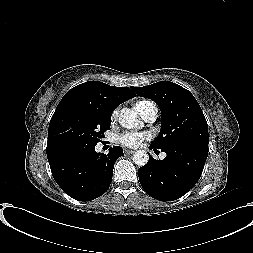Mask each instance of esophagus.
<instances>
[{
	"mask_svg": "<svg viewBox=\"0 0 253 253\" xmlns=\"http://www.w3.org/2000/svg\"><path fill=\"white\" fill-rule=\"evenodd\" d=\"M134 152H135L134 150L124 149V153H125V154H132V153H134Z\"/></svg>",
	"mask_w": 253,
	"mask_h": 253,
	"instance_id": "34e87169",
	"label": "esophagus"
}]
</instances>
